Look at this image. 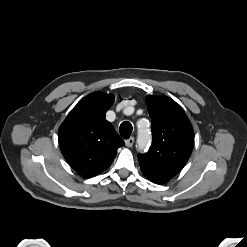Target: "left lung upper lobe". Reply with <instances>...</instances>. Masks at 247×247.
Here are the masks:
<instances>
[{
	"mask_svg": "<svg viewBox=\"0 0 247 247\" xmlns=\"http://www.w3.org/2000/svg\"><path fill=\"white\" fill-rule=\"evenodd\" d=\"M146 101L153 141L147 153L138 155V160L144 176L154 183L164 184L188 161L194 132L183 109L171 98L147 95Z\"/></svg>",
	"mask_w": 247,
	"mask_h": 247,
	"instance_id": "left-lung-upper-lobe-1",
	"label": "left lung upper lobe"
}]
</instances>
